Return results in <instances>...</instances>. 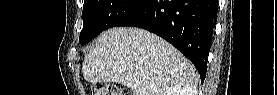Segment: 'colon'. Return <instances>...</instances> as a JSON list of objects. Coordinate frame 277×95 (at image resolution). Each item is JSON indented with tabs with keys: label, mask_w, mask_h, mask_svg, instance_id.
I'll return each mask as SVG.
<instances>
[{
	"label": "colon",
	"mask_w": 277,
	"mask_h": 95,
	"mask_svg": "<svg viewBox=\"0 0 277 95\" xmlns=\"http://www.w3.org/2000/svg\"><path fill=\"white\" fill-rule=\"evenodd\" d=\"M92 95H128L130 94L129 89L117 88L115 86H108L103 83H94L90 86Z\"/></svg>",
	"instance_id": "1"
}]
</instances>
